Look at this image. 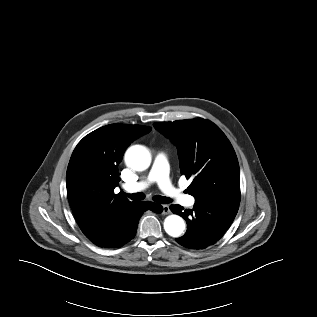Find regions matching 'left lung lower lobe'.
Instances as JSON below:
<instances>
[{"label": "left lung lower lobe", "mask_w": 317, "mask_h": 317, "mask_svg": "<svg viewBox=\"0 0 317 317\" xmlns=\"http://www.w3.org/2000/svg\"><path fill=\"white\" fill-rule=\"evenodd\" d=\"M239 205L209 200H196L193 209L171 205L170 209L187 223L184 236L176 241L189 249H205L215 244L233 222Z\"/></svg>", "instance_id": "0a47b994"}]
</instances>
